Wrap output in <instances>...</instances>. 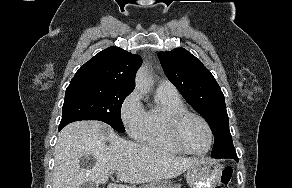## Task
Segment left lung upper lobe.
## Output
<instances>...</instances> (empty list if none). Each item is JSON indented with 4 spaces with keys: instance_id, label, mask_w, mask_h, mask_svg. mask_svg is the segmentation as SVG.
I'll return each instance as SVG.
<instances>
[{
    "instance_id": "1",
    "label": "left lung upper lobe",
    "mask_w": 292,
    "mask_h": 188,
    "mask_svg": "<svg viewBox=\"0 0 292 188\" xmlns=\"http://www.w3.org/2000/svg\"><path fill=\"white\" fill-rule=\"evenodd\" d=\"M158 57L168 79L208 122L214 135L212 157L235 152L224 95L211 72L184 48L159 52Z\"/></svg>"
}]
</instances>
